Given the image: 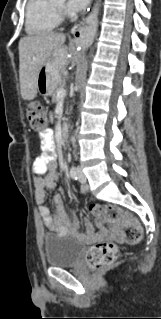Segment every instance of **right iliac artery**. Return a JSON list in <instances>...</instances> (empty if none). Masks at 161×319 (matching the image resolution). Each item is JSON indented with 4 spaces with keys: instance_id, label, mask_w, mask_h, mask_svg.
I'll return each mask as SVG.
<instances>
[{
    "instance_id": "1",
    "label": "right iliac artery",
    "mask_w": 161,
    "mask_h": 319,
    "mask_svg": "<svg viewBox=\"0 0 161 319\" xmlns=\"http://www.w3.org/2000/svg\"><path fill=\"white\" fill-rule=\"evenodd\" d=\"M70 176H71V178H73L74 180H77L78 179V177H79V170H78V168L77 167H72L71 169H70Z\"/></svg>"
}]
</instances>
